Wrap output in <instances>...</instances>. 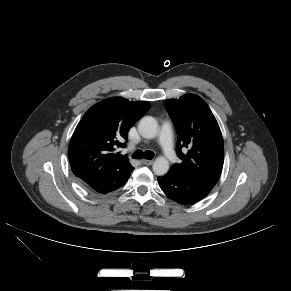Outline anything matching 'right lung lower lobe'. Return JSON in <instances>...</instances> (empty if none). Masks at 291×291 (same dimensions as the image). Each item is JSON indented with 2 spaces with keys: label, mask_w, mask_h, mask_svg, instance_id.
Segmentation results:
<instances>
[{
  "label": "right lung lower lobe",
  "mask_w": 291,
  "mask_h": 291,
  "mask_svg": "<svg viewBox=\"0 0 291 291\" xmlns=\"http://www.w3.org/2000/svg\"><path fill=\"white\" fill-rule=\"evenodd\" d=\"M130 173L123 174L116 168L95 174L85 181H81L82 186L92 195H103L117 190L125 185Z\"/></svg>",
  "instance_id": "obj_1"
}]
</instances>
